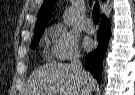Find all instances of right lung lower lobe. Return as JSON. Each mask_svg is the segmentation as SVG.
<instances>
[{
  "instance_id": "1",
  "label": "right lung lower lobe",
  "mask_w": 135,
  "mask_h": 95,
  "mask_svg": "<svg viewBox=\"0 0 135 95\" xmlns=\"http://www.w3.org/2000/svg\"><path fill=\"white\" fill-rule=\"evenodd\" d=\"M110 38V23L105 16H102L100 28L98 31V47L86 56L85 69L90 71L97 81L101 80L102 63L106 54L108 41Z\"/></svg>"
}]
</instances>
